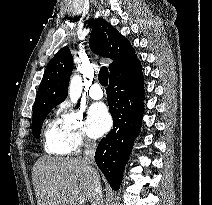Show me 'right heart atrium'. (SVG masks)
<instances>
[{
    "label": "right heart atrium",
    "instance_id": "d8ad5b80",
    "mask_svg": "<svg viewBox=\"0 0 212 205\" xmlns=\"http://www.w3.org/2000/svg\"><path fill=\"white\" fill-rule=\"evenodd\" d=\"M60 111V121L72 151L77 152L83 146L91 145L93 142L87 135L83 113L68 105L61 106Z\"/></svg>",
    "mask_w": 212,
    "mask_h": 205
}]
</instances>
